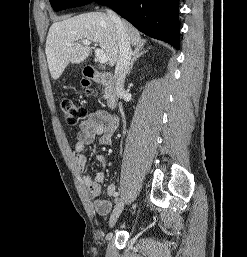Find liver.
I'll use <instances>...</instances> for the list:
<instances>
[{"label":"liver","mask_w":247,"mask_h":257,"mask_svg":"<svg viewBox=\"0 0 247 257\" xmlns=\"http://www.w3.org/2000/svg\"><path fill=\"white\" fill-rule=\"evenodd\" d=\"M131 45L144 44L140 32L122 21ZM83 40L99 43L101 50L114 66L119 56V42L115 23L102 12H90L55 22L51 25L46 40V56L51 77L57 80L69 63L79 64L86 60L91 47ZM67 43L73 44L67 46Z\"/></svg>","instance_id":"liver-1"}]
</instances>
